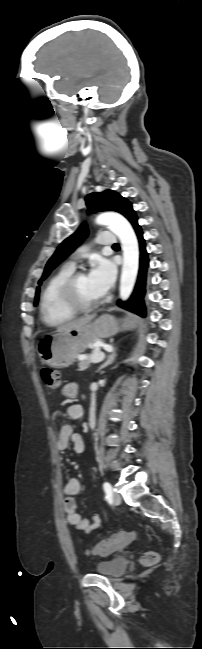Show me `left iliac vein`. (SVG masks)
Masks as SVG:
<instances>
[{"label":"left iliac vein","instance_id":"left-iliac-vein-1","mask_svg":"<svg viewBox=\"0 0 202 649\" xmlns=\"http://www.w3.org/2000/svg\"><path fill=\"white\" fill-rule=\"evenodd\" d=\"M112 500L114 501L115 504H120L121 503V496L117 492L112 493Z\"/></svg>","mask_w":202,"mask_h":649}]
</instances>
